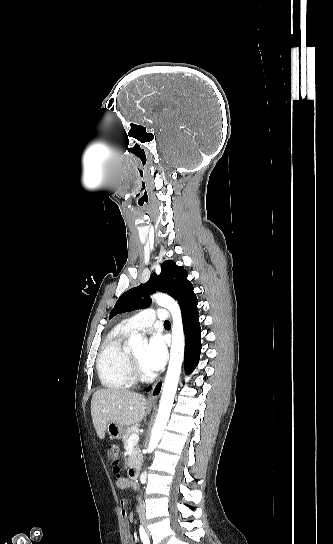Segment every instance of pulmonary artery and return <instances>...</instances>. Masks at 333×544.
Instances as JSON below:
<instances>
[{"label":"pulmonary artery","instance_id":"e3ab8cb5","mask_svg":"<svg viewBox=\"0 0 333 544\" xmlns=\"http://www.w3.org/2000/svg\"><path fill=\"white\" fill-rule=\"evenodd\" d=\"M168 312L165 309H145L136 315L123 321V325L130 331L150 328L156 320H168Z\"/></svg>","mask_w":333,"mask_h":544}]
</instances>
